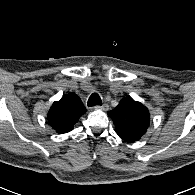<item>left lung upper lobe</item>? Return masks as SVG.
I'll return each mask as SVG.
<instances>
[{
  "mask_svg": "<svg viewBox=\"0 0 195 195\" xmlns=\"http://www.w3.org/2000/svg\"><path fill=\"white\" fill-rule=\"evenodd\" d=\"M108 115L115 124L117 135L127 142L141 139L150 124L148 109L131 97L122 99Z\"/></svg>",
  "mask_w": 195,
  "mask_h": 195,
  "instance_id": "left-lung-upper-lobe-1",
  "label": "left lung upper lobe"
}]
</instances>
